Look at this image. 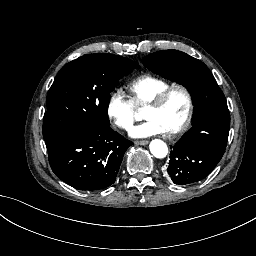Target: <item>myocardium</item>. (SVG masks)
<instances>
[{
  "instance_id": "myocardium-1",
  "label": "myocardium",
  "mask_w": 256,
  "mask_h": 256,
  "mask_svg": "<svg viewBox=\"0 0 256 256\" xmlns=\"http://www.w3.org/2000/svg\"><path fill=\"white\" fill-rule=\"evenodd\" d=\"M174 90L179 91L184 96L185 101H186V111H185L184 115L170 127L171 132H177V131L182 130L187 125L189 120L191 119V116L193 113V105H192L191 97H190L189 93L187 92V90L182 85L177 84L171 90L165 91L164 93H162L158 97V99L145 110V115L150 116L149 110H157V109H160L161 107H163V105L167 101L168 97Z\"/></svg>"
}]
</instances>
